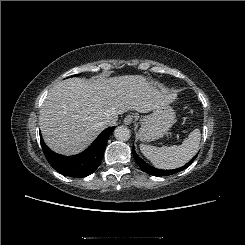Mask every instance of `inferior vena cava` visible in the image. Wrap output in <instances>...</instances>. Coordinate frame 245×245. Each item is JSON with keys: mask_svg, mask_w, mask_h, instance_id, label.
<instances>
[{"mask_svg": "<svg viewBox=\"0 0 245 245\" xmlns=\"http://www.w3.org/2000/svg\"><path fill=\"white\" fill-rule=\"evenodd\" d=\"M117 124V117H110L105 122V126H115Z\"/></svg>", "mask_w": 245, "mask_h": 245, "instance_id": "602c4592", "label": "inferior vena cava"}]
</instances>
